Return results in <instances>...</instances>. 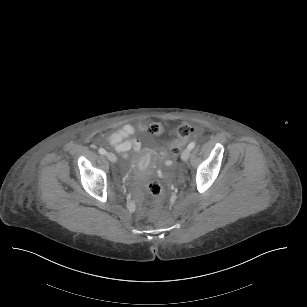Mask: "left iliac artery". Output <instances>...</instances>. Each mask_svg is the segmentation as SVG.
I'll return each mask as SVG.
<instances>
[{"instance_id": "44dca946", "label": "left iliac artery", "mask_w": 307, "mask_h": 307, "mask_svg": "<svg viewBox=\"0 0 307 307\" xmlns=\"http://www.w3.org/2000/svg\"><path fill=\"white\" fill-rule=\"evenodd\" d=\"M195 145H196L195 142H191V143L187 146V148L191 150V149H193V148L195 147Z\"/></svg>"}]
</instances>
